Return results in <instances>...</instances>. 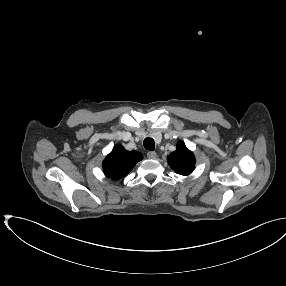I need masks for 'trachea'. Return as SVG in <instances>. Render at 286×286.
<instances>
[{
  "label": "trachea",
  "instance_id": "1",
  "mask_svg": "<svg viewBox=\"0 0 286 286\" xmlns=\"http://www.w3.org/2000/svg\"><path fill=\"white\" fill-rule=\"evenodd\" d=\"M144 147L146 150H154L155 149V142L152 138H146L143 142Z\"/></svg>",
  "mask_w": 286,
  "mask_h": 286
}]
</instances>
